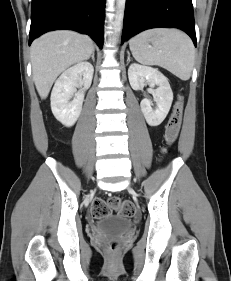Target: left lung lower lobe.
<instances>
[{
	"mask_svg": "<svg viewBox=\"0 0 231 281\" xmlns=\"http://www.w3.org/2000/svg\"><path fill=\"white\" fill-rule=\"evenodd\" d=\"M175 27L185 31L196 46L191 0H126L122 43L144 30Z\"/></svg>",
	"mask_w": 231,
	"mask_h": 281,
	"instance_id": "1",
	"label": "left lung lower lobe"
}]
</instances>
